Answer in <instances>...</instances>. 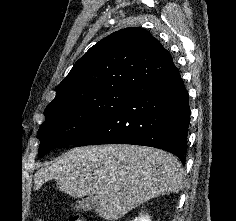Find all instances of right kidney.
<instances>
[{"label": "right kidney", "instance_id": "obj_1", "mask_svg": "<svg viewBox=\"0 0 236 221\" xmlns=\"http://www.w3.org/2000/svg\"><path fill=\"white\" fill-rule=\"evenodd\" d=\"M133 221H151V219L148 215H142V216L136 217Z\"/></svg>", "mask_w": 236, "mask_h": 221}]
</instances>
